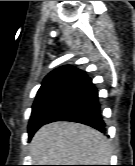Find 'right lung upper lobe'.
I'll list each match as a JSON object with an SVG mask.
<instances>
[{"instance_id": "cb5924a9", "label": "right lung upper lobe", "mask_w": 135, "mask_h": 166, "mask_svg": "<svg viewBox=\"0 0 135 166\" xmlns=\"http://www.w3.org/2000/svg\"><path fill=\"white\" fill-rule=\"evenodd\" d=\"M87 75L84 71L72 66H62L50 72L44 79L38 93L36 100L56 90L66 88L71 84L80 82ZM35 100V101H36Z\"/></svg>"}]
</instances>
